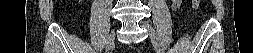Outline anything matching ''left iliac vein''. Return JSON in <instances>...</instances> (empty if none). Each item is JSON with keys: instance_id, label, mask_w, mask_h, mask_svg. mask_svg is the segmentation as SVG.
I'll return each instance as SVG.
<instances>
[{"instance_id": "obj_1", "label": "left iliac vein", "mask_w": 253, "mask_h": 53, "mask_svg": "<svg viewBox=\"0 0 253 53\" xmlns=\"http://www.w3.org/2000/svg\"><path fill=\"white\" fill-rule=\"evenodd\" d=\"M141 24H142L143 27H146L148 29V32H149L150 37H151V40L154 43V45H155V42H159L158 41V37H157V35L155 33V30L147 22H142ZM155 46L158 47V45H155ZM162 53H163V51H162Z\"/></svg>"}]
</instances>
